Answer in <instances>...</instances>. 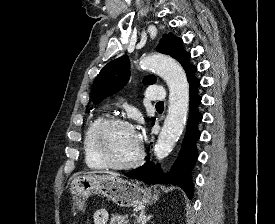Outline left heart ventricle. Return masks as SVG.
<instances>
[{
	"label": "left heart ventricle",
	"mask_w": 275,
	"mask_h": 224,
	"mask_svg": "<svg viewBox=\"0 0 275 224\" xmlns=\"http://www.w3.org/2000/svg\"><path fill=\"white\" fill-rule=\"evenodd\" d=\"M106 145L115 162L126 163L136 157L139 140L134 129L117 125L107 132Z\"/></svg>",
	"instance_id": "b2bd125f"
}]
</instances>
